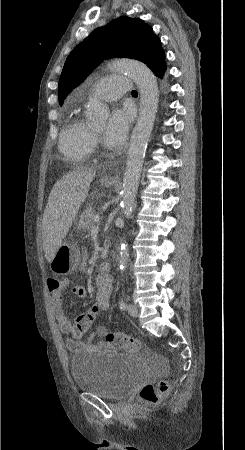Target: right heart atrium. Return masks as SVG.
Listing matches in <instances>:
<instances>
[{"label": "right heart atrium", "instance_id": "d8ad5b80", "mask_svg": "<svg viewBox=\"0 0 245 450\" xmlns=\"http://www.w3.org/2000/svg\"><path fill=\"white\" fill-rule=\"evenodd\" d=\"M95 143H96V141H95V139H94V145H95Z\"/></svg>", "mask_w": 245, "mask_h": 450}]
</instances>
